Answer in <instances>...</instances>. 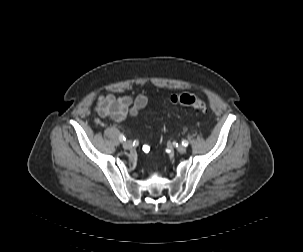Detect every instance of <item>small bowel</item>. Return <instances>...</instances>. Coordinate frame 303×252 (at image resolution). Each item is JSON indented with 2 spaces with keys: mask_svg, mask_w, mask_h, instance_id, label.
Returning <instances> with one entry per match:
<instances>
[{
  "mask_svg": "<svg viewBox=\"0 0 303 252\" xmlns=\"http://www.w3.org/2000/svg\"><path fill=\"white\" fill-rule=\"evenodd\" d=\"M148 104V97L138 94L135 97L107 94L101 96L97 103V111L102 117H112L124 121L129 116H136Z\"/></svg>",
  "mask_w": 303,
  "mask_h": 252,
  "instance_id": "c3829d8e",
  "label": "small bowel"
}]
</instances>
